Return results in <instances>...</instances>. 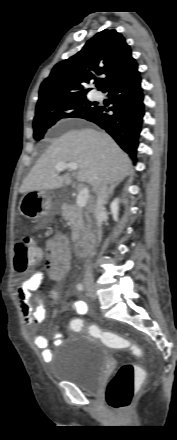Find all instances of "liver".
<instances>
[{
    "instance_id": "1",
    "label": "liver",
    "mask_w": 177,
    "mask_h": 440,
    "mask_svg": "<svg viewBox=\"0 0 177 440\" xmlns=\"http://www.w3.org/2000/svg\"><path fill=\"white\" fill-rule=\"evenodd\" d=\"M59 162L78 164L77 179L96 191L101 181H121L131 170L128 155L106 133L95 129L71 130L59 137L40 157L24 179L20 193L53 190L69 185V174L59 176Z\"/></svg>"
}]
</instances>
